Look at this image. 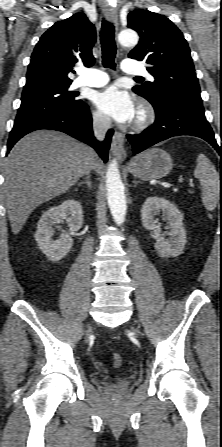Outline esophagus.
Segmentation results:
<instances>
[{"label":"esophagus","mask_w":222,"mask_h":447,"mask_svg":"<svg viewBox=\"0 0 222 447\" xmlns=\"http://www.w3.org/2000/svg\"><path fill=\"white\" fill-rule=\"evenodd\" d=\"M104 15L106 19L110 22H113L117 28L118 26L117 12L113 8L106 6L104 9ZM124 142H125L124 134L119 131H116L112 138L111 150L113 154L116 155L120 160H124L127 156L126 151L124 149Z\"/></svg>","instance_id":"obj_1"}]
</instances>
